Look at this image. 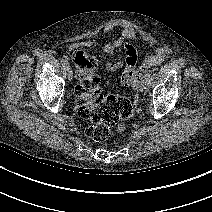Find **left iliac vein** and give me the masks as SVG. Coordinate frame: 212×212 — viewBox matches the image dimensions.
<instances>
[{
	"mask_svg": "<svg viewBox=\"0 0 212 212\" xmlns=\"http://www.w3.org/2000/svg\"><path fill=\"white\" fill-rule=\"evenodd\" d=\"M138 89H139L140 92H144L145 91V85H144L143 82L139 85Z\"/></svg>",
	"mask_w": 212,
	"mask_h": 212,
	"instance_id": "obj_1",
	"label": "left iliac vein"
}]
</instances>
